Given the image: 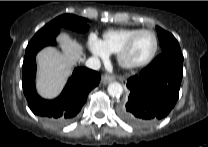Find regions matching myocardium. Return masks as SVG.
<instances>
[{
  "label": "myocardium",
  "instance_id": "1",
  "mask_svg": "<svg viewBox=\"0 0 208 147\" xmlns=\"http://www.w3.org/2000/svg\"><path fill=\"white\" fill-rule=\"evenodd\" d=\"M145 33H149L154 37L155 47H154L152 54L149 56V58H147L145 61H142V62L134 63V62L128 61L127 55L129 53L132 45L134 44V42L136 41V39L140 35L145 34ZM158 51H159V40H158L156 33L151 30L142 29V30L138 31L137 33H135L134 35H132L126 41V43L122 46V48L118 51L117 61H118L119 65L121 67H123L124 69H128V70L139 69V68L149 65L155 59Z\"/></svg>",
  "mask_w": 208,
  "mask_h": 147
}]
</instances>
